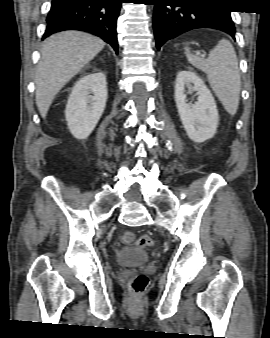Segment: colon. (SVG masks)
<instances>
[{
	"instance_id": "1",
	"label": "colon",
	"mask_w": 270,
	"mask_h": 338,
	"mask_svg": "<svg viewBox=\"0 0 270 338\" xmlns=\"http://www.w3.org/2000/svg\"><path fill=\"white\" fill-rule=\"evenodd\" d=\"M133 242L136 246L143 248L152 245L154 240L149 236H138ZM147 282L148 278L145 275L140 274L133 277L130 283L132 291L136 294L141 293L145 289Z\"/></svg>"
}]
</instances>
